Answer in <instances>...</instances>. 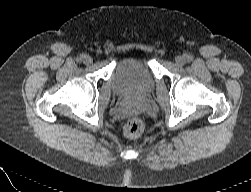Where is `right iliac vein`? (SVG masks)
Returning a JSON list of instances; mask_svg holds the SVG:
<instances>
[{
	"label": "right iliac vein",
	"mask_w": 251,
	"mask_h": 192,
	"mask_svg": "<svg viewBox=\"0 0 251 192\" xmlns=\"http://www.w3.org/2000/svg\"><path fill=\"white\" fill-rule=\"evenodd\" d=\"M92 62H93L92 57H90V56H85V58H84V63H85V64H91Z\"/></svg>",
	"instance_id": "obj_1"
}]
</instances>
